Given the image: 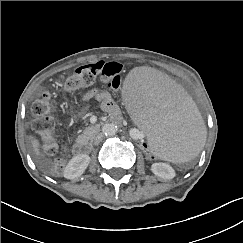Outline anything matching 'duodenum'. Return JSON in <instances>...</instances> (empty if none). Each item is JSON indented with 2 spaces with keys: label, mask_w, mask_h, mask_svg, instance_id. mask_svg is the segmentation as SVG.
Listing matches in <instances>:
<instances>
[{
  "label": "duodenum",
  "mask_w": 243,
  "mask_h": 243,
  "mask_svg": "<svg viewBox=\"0 0 243 243\" xmlns=\"http://www.w3.org/2000/svg\"><path fill=\"white\" fill-rule=\"evenodd\" d=\"M73 151L77 154V155H82V154H86L89 152V146L87 143L85 142H77L74 144L73 146Z\"/></svg>",
  "instance_id": "410a0bca"
}]
</instances>
